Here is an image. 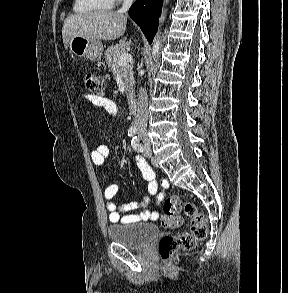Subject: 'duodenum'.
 I'll use <instances>...</instances> for the list:
<instances>
[{"label":"duodenum","instance_id":"duodenum-1","mask_svg":"<svg viewBox=\"0 0 288 293\" xmlns=\"http://www.w3.org/2000/svg\"><path fill=\"white\" fill-rule=\"evenodd\" d=\"M129 110L132 113H136L138 111V101L136 98H130L128 101Z\"/></svg>","mask_w":288,"mask_h":293}]
</instances>
